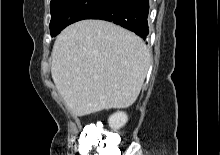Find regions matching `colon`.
Masks as SVG:
<instances>
[{"label": "colon", "instance_id": "obj_1", "mask_svg": "<svg viewBox=\"0 0 220 155\" xmlns=\"http://www.w3.org/2000/svg\"><path fill=\"white\" fill-rule=\"evenodd\" d=\"M82 155H114V144L106 134L90 129L80 138Z\"/></svg>", "mask_w": 220, "mask_h": 155}]
</instances>
